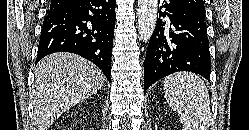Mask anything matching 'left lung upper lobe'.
<instances>
[{
  "label": "left lung upper lobe",
  "mask_w": 249,
  "mask_h": 130,
  "mask_svg": "<svg viewBox=\"0 0 249 130\" xmlns=\"http://www.w3.org/2000/svg\"><path fill=\"white\" fill-rule=\"evenodd\" d=\"M183 4H185L188 8L200 13L204 14L205 6L203 0H181Z\"/></svg>",
  "instance_id": "obj_1"
}]
</instances>
